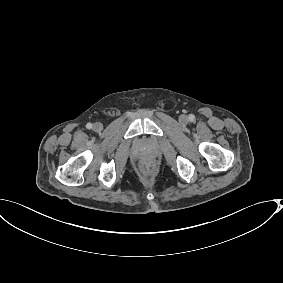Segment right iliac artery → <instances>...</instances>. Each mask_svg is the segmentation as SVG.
I'll return each instance as SVG.
<instances>
[{
  "label": "right iliac artery",
  "instance_id": "obj_1",
  "mask_svg": "<svg viewBox=\"0 0 283 283\" xmlns=\"http://www.w3.org/2000/svg\"><path fill=\"white\" fill-rule=\"evenodd\" d=\"M86 127H87V129H91L92 128V124L91 123H87Z\"/></svg>",
  "mask_w": 283,
  "mask_h": 283
}]
</instances>
